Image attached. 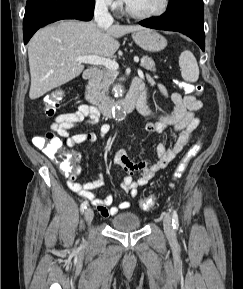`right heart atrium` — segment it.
Here are the masks:
<instances>
[{"instance_id":"1","label":"right heart atrium","mask_w":243,"mask_h":289,"mask_svg":"<svg viewBox=\"0 0 243 289\" xmlns=\"http://www.w3.org/2000/svg\"><path fill=\"white\" fill-rule=\"evenodd\" d=\"M95 1L99 6L113 11H117L121 6L120 0H95Z\"/></svg>"}]
</instances>
